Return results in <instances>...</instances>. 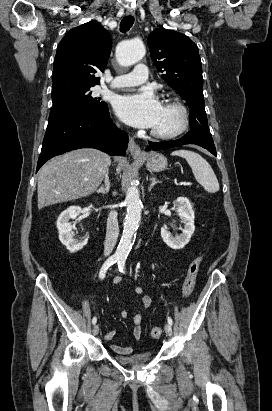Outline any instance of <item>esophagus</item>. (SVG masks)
Segmentation results:
<instances>
[{
	"mask_svg": "<svg viewBox=\"0 0 272 411\" xmlns=\"http://www.w3.org/2000/svg\"><path fill=\"white\" fill-rule=\"evenodd\" d=\"M134 13H135L134 9L127 8L126 15H134ZM128 149H129L132 156H134V157H141L142 156V152H141V149H140L139 145L135 142V140L132 137H130V139H129Z\"/></svg>",
	"mask_w": 272,
	"mask_h": 411,
	"instance_id": "1",
	"label": "esophagus"
}]
</instances>
